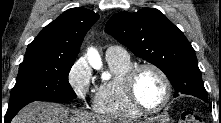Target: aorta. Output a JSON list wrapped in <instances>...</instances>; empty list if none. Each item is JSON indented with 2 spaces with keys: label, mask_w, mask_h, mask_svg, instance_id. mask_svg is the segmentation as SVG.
<instances>
[{
  "label": "aorta",
  "mask_w": 221,
  "mask_h": 123,
  "mask_svg": "<svg viewBox=\"0 0 221 123\" xmlns=\"http://www.w3.org/2000/svg\"><path fill=\"white\" fill-rule=\"evenodd\" d=\"M88 61L89 64L95 69H101L102 61L96 49L90 48L88 50Z\"/></svg>",
  "instance_id": "1"
}]
</instances>
